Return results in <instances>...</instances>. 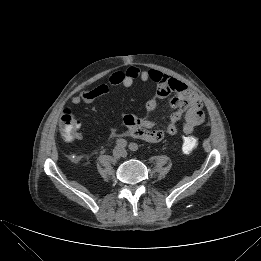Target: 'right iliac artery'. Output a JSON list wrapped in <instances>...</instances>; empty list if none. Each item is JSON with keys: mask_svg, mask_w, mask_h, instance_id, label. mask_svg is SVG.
<instances>
[{"mask_svg": "<svg viewBox=\"0 0 261 261\" xmlns=\"http://www.w3.org/2000/svg\"><path fill=\"white\" fill-rule=\"evenodd\" d=\"M116 145H117L118 147L124 148V147L127 146V141L124 140V139H117V140H116Z\"/></svg>", "mask_w": 261, "mask_h": 261, "instance_id": "82829eb1", "label": "right iliac artery"}]
</instances>
